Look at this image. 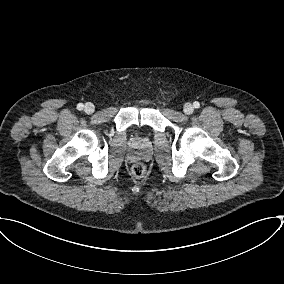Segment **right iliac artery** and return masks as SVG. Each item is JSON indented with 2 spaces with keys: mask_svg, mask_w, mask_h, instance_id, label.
Wrapping results in <instances>:
<instances>
[{
  "mask_svg": "<svg viewBox=\"0 0 284 284\" xmlns=\"http://www.w3.org/2000/svg\"><path fill=\"white\" fill-rule=\"evenodd\" d=\"M83 107H84V105H83L82 103H79V104L77 105V109H78V110H82Z\"/></svg>",
  "mask_w": 284,
  "mask_h": 284,
  "instance_id": "82829eb1",
  "label": "right iliac artery"
}]
</instances>
